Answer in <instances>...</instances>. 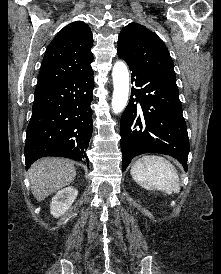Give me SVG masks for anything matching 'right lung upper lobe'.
<instances>
[{
	"instance_id": "1",
	"label": "right lung upper lobe",
	"mask_w": 221,
	"mask_h": 274,
	"mask_svg": "<svg viewBox=\"0 0 221 274\" xmlns=\"http://www.w3.org/2000/svg\"><path fill=\"white\" fill-rule=\"evenodd\" d=\"M93 35L87 24L75 21L65 26L48 46L36 91L92 70Z\"/></svg>"
}]
</instances>
